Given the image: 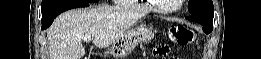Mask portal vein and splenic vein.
Wrapping results in <instances>:
<instances>
[{
	"label": "portal vein and splenic vein",
	"instance_id": "portal-vein-and-splenic-vein-1",
	"mask_svg": "<svg viewBox=\"0 0 261 59\" xmlns=\"http://www.w3.org/2000/svg\"><path fill=\"white\" fill-rule=\"evenodd\" d=\"M84 40H85V41H90V40H91V36H85V37H84Z\"/></svg>",
	"mask_w": 261,
	"mask_h": 59
}]
</instances>
